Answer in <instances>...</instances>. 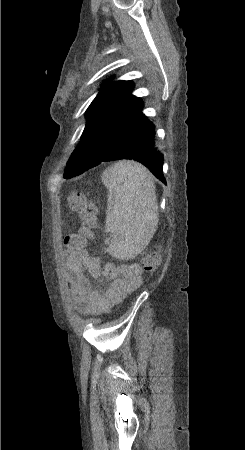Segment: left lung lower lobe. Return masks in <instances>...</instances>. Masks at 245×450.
<instances>
[{
    "label": "left lung lower lobe",
    "mask_w": 245,
    "mask_h": 450,
    "mask_svg": "<svg viewBox=\"0 0 245 450\" xmlns=\"http://www.w3.org/2000/svg\"><path fill=\"white\" fill-rule=\"evenodd\" d=\"M155 138V126L146 118L138 132L121 149L109 150L106 154L101 155L107 150L104 146L99 149V147L95 148V145H85L80 148L79 153L89 155V158L101 155L100 162L119 159L137 160L147 166L156 178L166 184L163 176V154L158 150Z\"/></svg>",
    "instance_id": "obj_1"
}]
</instances>
